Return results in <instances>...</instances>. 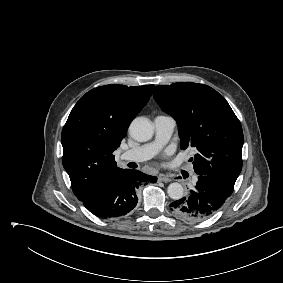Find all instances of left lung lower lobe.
Returning a JSON list of instances; mask_svg holds the SVG:
<instances>
[{"instance_id":"obj_1","label":"left lung lower lobe","mask_w":283,"mask_h":283,"mask_svg":"<svg viewBox=\"0 0 283 283\" xmlns=\"http://www.w3.org/2000/svg\"><path fill=\"white\" fill-rule=\"evenodd\" d=\"M234 185L212 176L199 175L189 194L172 202L171 211L187 221H202L213 216L232 194Z\"/></svg>"}]
</instances>
